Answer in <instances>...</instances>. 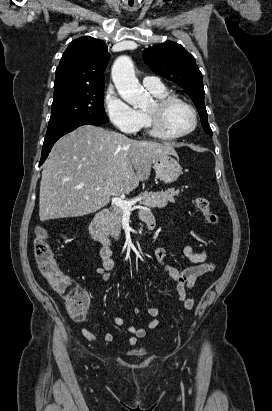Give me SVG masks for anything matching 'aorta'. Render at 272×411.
<instances>
[{
  "label": "aorta",
  "instance_id": "obj_1",
  "mask_svg": "<svg viewBox=\"0 0 272 411\" xmlns=\"http://www.w3.org/2000/svg\"><path fill=\"white\" fill-rule=\"evenodd\" d=\"M111 76L118 93L134 108L143 106L148 100V93L138 82L133 63L128 56H120L115 60Z\"/></svg>",
  "mask_w": 272,
  "mask_h": 411
}]
</instances>
